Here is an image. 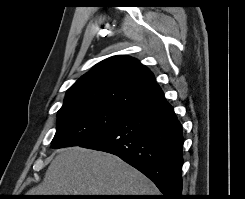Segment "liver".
Instances as JSON below:
<instances>
[{
	"label": "liver",
	"mask_w": 245,
	"mask_h": 199,
	"mask_svg": "<svg viewBox=\"0 0 245 199\" xmlns=\"http://www.w3.org/2000/svg\"><path fill=\"white\" fill-rule=\"evenodd\" d=\"M147 177L119 157L81 147L63 149L43 182L27 195H157Z\"/></svg>",
	"instance_id": "6515ba94"
}]
</instances>
